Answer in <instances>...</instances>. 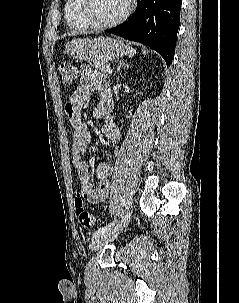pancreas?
I'll return each instance as SVG.
<instances>
[{
	"instance_id": "1",
	"label": "pancreas",
	"mask_w": 239,
	"mask_h": 303,
	"mask_svg": "<svg viewBox=\"0 0 239 303\" xmlns=\"http://www.w3.org/2000/svg\"><path fill=\"white\" fill-rule=\"evenodd\" d=\"M95 67L97 70L103 73L104 77H110L111 75L109 71L110 65L108 63L96 62Z\"/></svg>"
}]
</instances>
